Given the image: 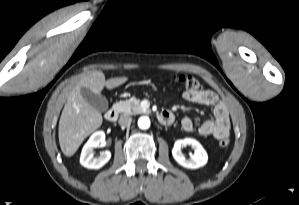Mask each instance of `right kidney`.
I'll list each match as a JSON object with an SVG mask.
<instances>
[{"label": "right kidney", "mask_w": 299, "mask_h": 205, "mask_svg": "<svg viewBox=\"0 0 299 205\" xmlns=\"http://www.w3.org/2000/svg\"><path fill=\"white\" fill-rule=\"evenodd\" d=\"M104 140L105 133L103 131H96L92 134L81 152L80 163L82 166L88 169H99L110 160L111 153L109 151L101 152L98 157H94V149Z\"/></svg>", "instance_id": "right-kidney-1"}]
</instances>
